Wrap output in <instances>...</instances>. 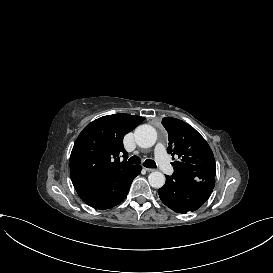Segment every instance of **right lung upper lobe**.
I'll return each instance as SVG.
<instances>
[{"label":"right lung upper lobe","instance_id":"right-lung-upper-lobe-1","mask_svg":"<svg viewBox=\"0 0 273 273\" xmlns=\"http://www.w3.org/2000/svg\"><path fill=\"white\" fill-rule=\"evenodd\" d=\"M145 118L126 113L100 117L77 137L70 155V176L80 198L92 207L113 197L115 184L132 174L135 165L120 161L127 155L124 136Z\"/></svg>","mask_w":273,"mask_h":273}]
</instances>
